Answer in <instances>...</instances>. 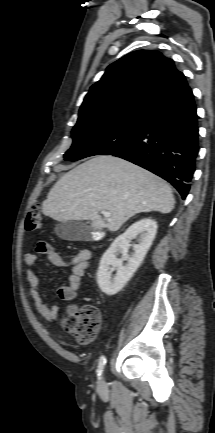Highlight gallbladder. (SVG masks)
<instances>
[{"label":"gallbladder","instance_id":"obj_1","mask_svg":"<svg viewBox=\"0 0 215 433\" xmlns=\"http://www.w3.org/2000/svg\"><path fill=\"white\" fill-rule=\"evenodd\" d=\"M54 231L59 238L66 241H83L90 238V227L80 221L60 222Z\"/></svg>","mask_w":215,"mask_h":433}]
</instances>
